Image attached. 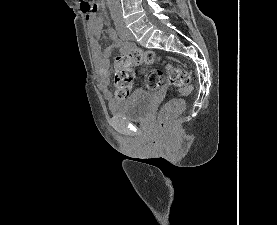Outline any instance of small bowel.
Wrapping results in <instances>:
<instances>
[{
  "label": "small bowel",
  "instance_id": "obj_1",
  "mask_svg": "<svg viewBox=\"0 0 277 225\" xmlns=\"http://www.w3.org/2000/svg\"><path fill=\"white\" fill-rule=\"evenodd\" d=\"M86 19L89 22V33L91 36V46L95 62L100 66V72L105 73L108 69L112 49L117 47L125 49L128 47V45L124 44L120 40L117 32L113 28H108L107 32L109 38L112 40V45L106 48L104 51H102L99 43V38L102 33L103 21L102 19H97L94 14H87ZM105 97L107 99H110V93L106 91Z\"/></svg>",
  "mask_w": 277,
  "mask_h": 225
}]
</instances>
